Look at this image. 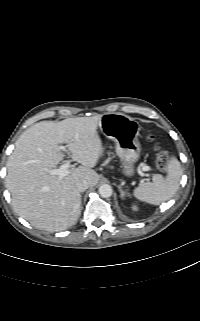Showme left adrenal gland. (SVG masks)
Listing matches in <instances>:
<instances>
[{
	"mask_svg": "<svg viewBox=\"0 0 200 321\" xmlns=\"http://www.w3.org/2000/svg\"><path fill=\"white\" fill-rule=\"evenodd\" d=\"M119 192H120V197L124 199V196L127 194L121 186H118Z\"/></svg>",
	"mask_w": 200,
	"mask_h": 321,
	"instance_id": "a2214340",
	"label": "left adrenal gland"
}]
</instances>
